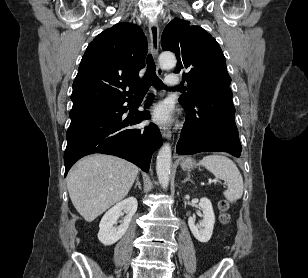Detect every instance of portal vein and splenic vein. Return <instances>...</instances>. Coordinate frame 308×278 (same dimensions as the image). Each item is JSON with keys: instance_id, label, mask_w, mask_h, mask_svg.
<instances>
[{"instance_id": "portal-vein-and-splenic-vein-1", "label": "portal vein and splenic vein", "mask_w": 308, "mask_h": 278, "mask_svg": "<svg viewBox=\"0 0 308 278\" xmlns=\"http://www.w3.org/2000/svg\"><path fill=\"white\" fill-rule=\"evenodd\" d=\"M218 180H216V179H209V183H211V182H217Z\"/></svg>"}]
</instances>
